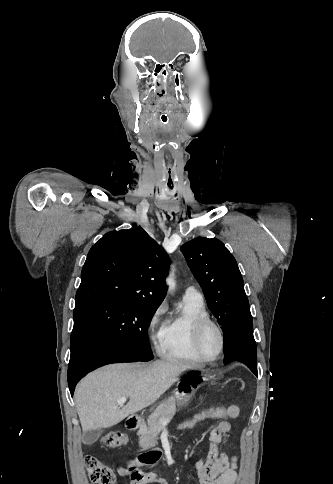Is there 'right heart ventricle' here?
I'll return each instance as SVG.
<instances>
[{
	"label": "right heart ventricle",
	"mask_w": 333,
	"mask_h": 484,
	"mask_svg": "<svg viewBox=\"0 0 333 484\" xmlns=\"http://www.w3.org/2000/svg\"><path fill=\"white\" fill-rule=\"evenodd\" d=\"M204 318H209V312L203 298L185 295L181 307L165 320L160 329V354L170 361L203 365L205 362L193 345V330L196 323Z\"/></svg>",
	"instance_id": "e07e8e85"
}]
</instances>
